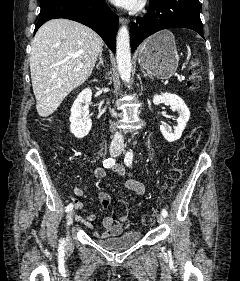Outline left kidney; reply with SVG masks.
Returning <instances> with one entry per match:
<instances>
[{
    "label": "left kidney",
    "instance_id": "5707ae66",
    "mask_svg": "<svg viewBox=\"0 0 240 281\" xmlns=\"http://www.w3.org/2000/svg\"><path fill=\"white\" fill-rule=\"evenodd\" d=\"M153 103L155 105L167 103L170 105L173 111H177L179 113L177 118V126L174 127L173 132H168L164 125H160V131L168 142H174L180 139L182 132L184 131L190 118V111L184 101L176 94L163 93L161 95H154Z\"/></svg>",
    "mask_w": 240,
    "mask_h": 281
}]
</instances>
